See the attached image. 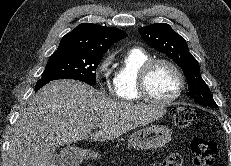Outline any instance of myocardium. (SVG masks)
I'll return each mask as SVG.
<instances>
[{"label": "myocardium", "mask_w": 231, "mask_h": 166, "mask_svg": "<svg viewBox=\"0 0 231 166\" xmlns=\"http://www.w3.org/2000/svg\"><path fill=\"white\" fill-rule=\"evenodd\" d=\"M158 64H165L169 66L177 76L178 88L176 92L167 99H157L153 97L148 89V77L151 70ZM185 88V77L179 66L173 61L166 58H152L142 65L139 70L137 89L141 99L160 106H167L176 101L183 93Z\"/></svg>", "instance_id": "1"}]
</instances>
